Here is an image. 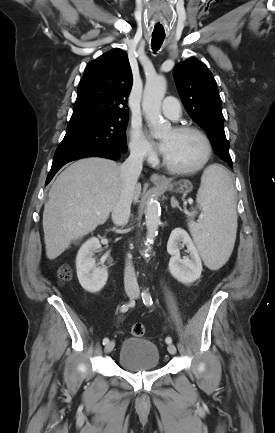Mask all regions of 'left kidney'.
Wrapping results in <instances>:
<instances>
[{
	"label": "left kidney",
	"instance_id": "1",
	"mask_svg": "<svg viewBox=\"0 0 275 433\" xmlns=\"http://www.w3.org/2000/svg\"><path fill=\"white\" fill-rule=\"evenodd\" d=\"M187 246L190 253L189 258L180 257L179 244ZM167 252L171 255L169 270L174 278L179 282L188 284L200 278L202 272V262L198 250L190 238L189 234L182 228H175L167 243Z\"/></svg>",
	"mask_w": 275,
	"mask_h": 433
}]
</instances>
